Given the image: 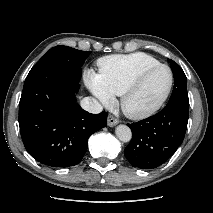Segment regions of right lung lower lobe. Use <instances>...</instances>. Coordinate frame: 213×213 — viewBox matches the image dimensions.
I'll list each match as a JSON object with an SVG mask.
<instances>
[{
	"instance_id": "1",
	"label": "right lung lower lobe",
	"mask_w": 213,
	"mask_h": 213,
	"mask_svg": "<svg viewBox=\"0 0 213 213\" xmlns=\"http://www.w3.org/2000/svg\"><path fill=\"white\" fill-rule=\"evenodd\" d=\"M79 80L59 67L30 71L20 103L19 126L27 152L51 167L78 164L89 137L106 126L107 113L91 114L76 103Z\"/></svg>"
}]
</instances>
